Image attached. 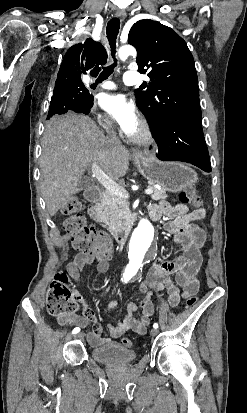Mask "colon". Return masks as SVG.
I'll use <instances>...</instances> for the list:
<instances>
[{"label": "colon", "instance_id": "colon-1", "mask_svg": "<svg viewBox=\"0 0 247 413\" xmlns=\"http://www.w3.org/2000/svg\"><path fill=\"white\" fill-rule=\"evenodd\" d=\"M182 203H191L197 208L201 207V199L198 194L191 189H184L178 195ZM83 208V201L73 197L67 200L61 208L62 215L66 216L63 223L65 231L71 236L75 248L89 250L96 248L99 257H106L109 254V247L106 236L102 235L97 229L91 227L86 219L80 214ZM72 292L67 286V278L64 273L57 275L48 289L47 311L50 315L72 314V307L77 304H70ZM198 298H187L186 303L189 308L197 304ZM122 344L126 347L132 346L129 338H123Z\"/></svg>", "mask_w": 247, "mask_h": 413}]
</instances>
